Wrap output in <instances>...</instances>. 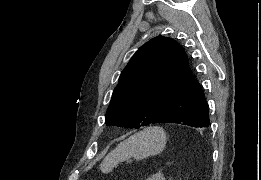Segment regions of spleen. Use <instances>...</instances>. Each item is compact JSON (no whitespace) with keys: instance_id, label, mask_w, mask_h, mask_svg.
<instances>
[{"instance_id":"1","label":"spleen","mask_w":261,"mask_h":180,"mask_svg":"<svg viewBox=\"0 0 261 180\" xmlns=\"http://www.w3.org/2000/svg\"><path fill=\"white\" fill-rule=\"evenodd\" d=\"M167 138L163 128L160 126H150L142 132L133 134L124 142H120L115 150L106 156V166L102 168L104 174L111 172L120 162H126L130 158L134 160H144L149 156H159L165 150Z\"/></svg>"}]
</instances>
